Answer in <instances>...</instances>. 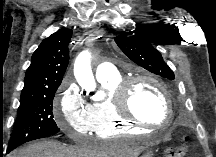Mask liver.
<instances>
[{
    "instance_id": "1",
    "label": "liver",
    "mask_w": 216,
    "mask_h": 157,
    "mask_svg": "<svg viewBox=\"0 0 216 157\" xmlns=\"http://www.w3.org/2000/svg\"><path fill=\"white\" fill-rule=\"evenodd\" d=\"M142 151V147L125 142L67 147L55 141H42L15 150L10 157H137Z\"/></svg>"
}]
</instances>
